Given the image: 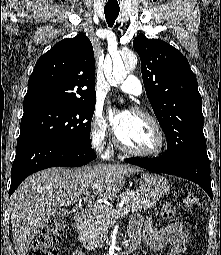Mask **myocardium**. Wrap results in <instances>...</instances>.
Masks as SVG:
<instances>
[{
	"instance_id": "1",
	"label": "myocardium",
	"mask_w": 221,
	"mask_h": 255,
	"mask_svg": "<svg viewBox=\"0 0 221 255\" xmlns=\"http://www.w3.org/2000/svg\"><path fill=\"white\" fill-rule=\"evenodd\" d=\"M131 112L147 119L153 125L157 133V144L154 148L147 151L131 149L121 142V140L119 139L116 133L115 134L116 147L123 153H126L131 156H136V157L149 158V157H155L160 155L164 151L166 146V137L160 122L157 120V118L154 115L140 108H133Z\"/></svg>"
}]
</instances>
